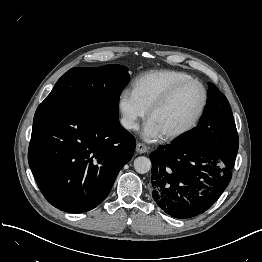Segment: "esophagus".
Listing matches in <instances>:
<instances>
[{
  "label": "esophagus",
  "mask_w": 262,
  "mask_h": 262,
  "mask_svg": "<svg viewBox=\"0 0 262 262\" xmlns=\"http://www.w3.org/2000/svg\"><path fill=\"white\" fill-rule=\"evenodd\" d=\"M136 151L139 153V154H143V153H146L148 151V148L145 144L143 143H137L136 144Z\"/></svg>",
  "instance_id": "34e87169"
}]
</instances>
